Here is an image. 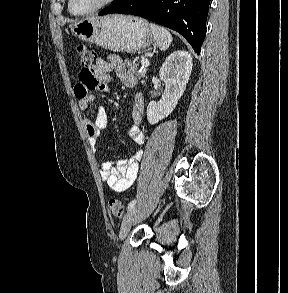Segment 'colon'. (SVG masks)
Segmentation results:
<instances>
[{
	"label": "colon",
	"instance_id": "5ec220e1",
	"mask_svg": "<svg viewBox=\"0 0 288 293\" xmlns=\"http://www.w3.org/2000/svg\"><path fill=\"white\" fill-rule=\"evenodd\" d=\"M77 54L80 63L85 70H90L93 67L94 62L97 60L96 52L84 44L78 45ZM109 209L114 216L121 217L124 212V205L119 199L113 198L109 201Z\"/></svg>",
	"mask_w": 288,
	"mask_h": 293
}]
</instances>
